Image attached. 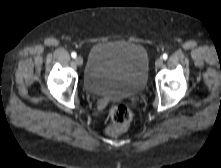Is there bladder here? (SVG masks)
Returning a JSON list of instances; mask_svg holds the SVG:
<instances>
[{
  "label": "bladder",
  "mask_w": 221,
  "mask_h": 168,
  "mask_svg": "<svg viewBox=\"0 0 221 168\" xmlns=\"http://www.w3.org/2000/svg\"><path fill=\"white\" fill-rule=\"evenodd\" d=\"M149 57L136 43L115 41L94 45L84 74L86 90L110 98H126L147 85Z\"/></svg>",
  "instance_id": "31cf9c89"
}]
</instances>
